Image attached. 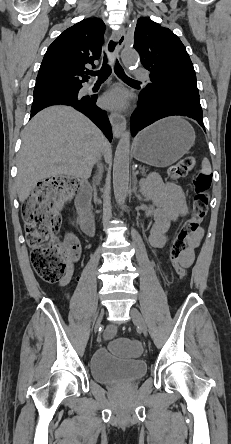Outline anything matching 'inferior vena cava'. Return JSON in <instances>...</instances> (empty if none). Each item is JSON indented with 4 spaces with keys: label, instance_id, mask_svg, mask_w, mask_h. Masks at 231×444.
<instances>
[{
    "label": "inferior vena cava",
    "instance_id": "obj_1",
    "mask_svg": "<svg viewBox=\"0 0 231 444\" xmlns=\"http://www.w3.org/2000/svg\"><path fill=\"white\" fill-rule=\"evenodd\" d=\"M105 143H106V139L103 137V143H101V144H100V147H99V148H100V150H99V151H100V153H99L100 155H99V156H100L101 158L104 156V155H103V154H104V153H103V151H104L103 149H104V147H105ZM99 166H101L100 163L98 164V168H99ZM94 184H98V183H94ZM95 192L98 194L100 191L97 189ZM94 202H95V204H96L97 206L100 204L98 198H95V199H94ZM97 206L94 208L96 211L99 209Z\"/></svg>",
    "mask_w": 231,
    "mask_h": 444
}]
</instances>
